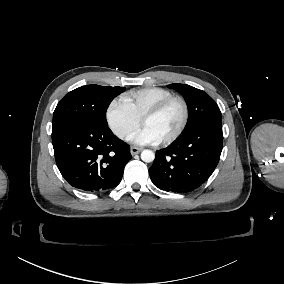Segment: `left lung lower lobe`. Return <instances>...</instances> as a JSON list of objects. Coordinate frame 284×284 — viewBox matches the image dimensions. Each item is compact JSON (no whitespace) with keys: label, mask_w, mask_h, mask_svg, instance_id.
<instances>
[{"label":"left lung lower lobe","mask_w":284,"mask_h":284,"mask_svg":"<svg viewBox=\"0 0 284 284\" xmlns=\"http://www.w3.org/2000/svg\"><path fill=\"white\" fill-rule=\"evenodd\" d=\"M222 144V123H206L185 130L170 146L156 152L149 168L153 184L167 192L193 191L215 170Z\"/></svg>","instance_id":"1"}]
</instances>
